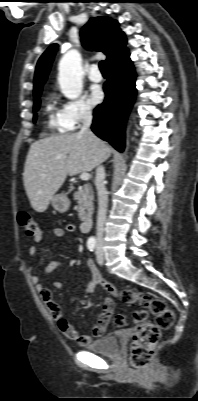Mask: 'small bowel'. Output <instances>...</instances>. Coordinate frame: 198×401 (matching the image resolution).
<instances>
[{
    "mask_svg": "<svg viewBox=\"0 0 198 401\" xmlns=\"http://www.w3.org/2000/svg\"><path fill=\"white\" fill-rule=\"evenodd\" d=\"M75 230L76 227L73 224H67L63 228L53 227L49 229L51 235L56 239H61L65 236L66 233H73ZM46 231H47L46 229H40L37 235L35 236L34 244H32L29 247V255L32 259L39 258L36 245L42 241V238ZM87 264L92 272V280L88 286V289L85 292V295H90L95 287L100 286L103 289H105L111 296H116L115 288L109 282L105 281L102 278L100 272L93 265V263L90 260H88ZM61 267L62 263L60 261H51L45 267L43 277L36 274L33 266L28 267V272L30 273L31 280L35 285L37 291L39 292L50 315L55 321L58 322L61 334L68 339L78 341L81 346H85L91 341V337L87 335H80L78 331L75 329V327L63 318L60 307L56 304V302L53 299L52 291L48 288H45L43 285V278L48 276L54 270L59 269ZM54 287L57 289H61L62 288L61 282L58 280L55 281ZM113 310H114V301L112 297L105 298L102 305V312L98 318L97 324L93 328L94 337L99 338L105 334L106 327L108 322L110 321Z\"/></svg>",
    "mask_w": 198,
    "mask_h": 401,
    "instance_id": "small-bowel-1",
    "label": "small bowel"
}]
</instances>
